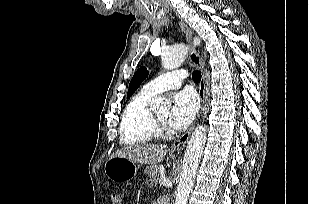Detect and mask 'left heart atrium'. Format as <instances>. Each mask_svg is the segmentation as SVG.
Returning <instances> with one entry per match:
<instances>
[{"instance_id":"39dd6f15","label":"left heart atrium","mask_w":309,"mask_h":204,"mask_svg":"<svg viewBox=\"0 0 309 204\" xmlns=\"http://www.w3.org/2000/svg\"><path fill=\"white\" fill-rule=\"evenodd\" d=\"M199 107L197 95L191 90H183L173 97L168 122L176 129L187 127L194 119Z\"/></svg>"}]
</instances>
